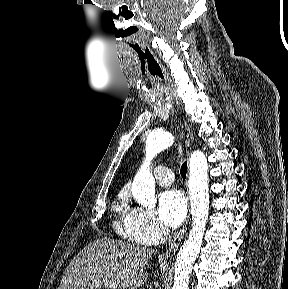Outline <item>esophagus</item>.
I'll list each match as a JSON object with an SVG mask.
<instances>
[{"instance_id":"esophagus-1","label":"esophagus","mask_w":288,"mask_h":289,"mask_svg":"<svg viewBox=\"0 0 288 289\" xmlns=\"http://www.w3.org/2000/svg\"><path fill=\"white\" fill-rule=\"evenodd\" d=\"M185 146H186V153L187 156L189 158L190 154H191V141L189 138V134H186V139H185ZM188 222H189V216L186 220L185 225L183 226L182 229H180V231L174 236L173 240L171 241L170 247L169 249L166 251L165 253V258H171L173 257V255L176 253L181 240L184 238L186 230H187V226H188Z\"/></svg>"}]
</instances>
